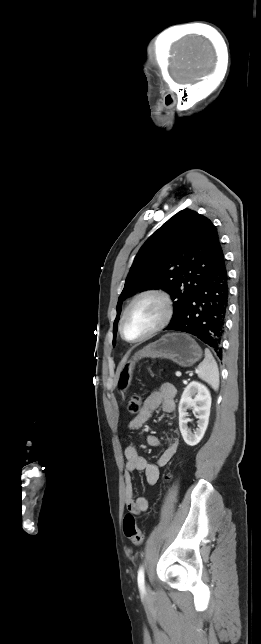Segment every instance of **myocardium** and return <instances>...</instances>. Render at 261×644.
<instances>
[{"mask_svg": "<svg viewBox=\"0 0 261 644\" xmlns=\"http://www.w3.org/2000/svg\"><path fill=\"white\" fill-rule=\"evenodd\" d=\"M146 297H154V298H157L158 300H160V302L163 305L162 318L160 319V321L158 322V324L154 328H152L149 332H147L142 337L137 338V339H133V340L128 339L126 337V335H125V322H126L128 314H129V311L131 310V308L133 307V305L136 302H138L139 300H141L143 298H146ZM173 316H174L173 299H172L171 295L166 290H164L162 288H157V287H152V288L142 290L141 292L136 294L130 300V302L128 303V305L124 309V312L122 314L120 324H119V330H120L121 337L125 341H127L128 343L135 344V343L144 342V341L148 340L149 338L153 337L154 335H156L157 333H159L160 331H162L165 327H167L169 325V323L171 322Z\"/></svg>", "mask_w": 261, "mask_h": 644, "instance_id": "1", "label": "myocardium"}]
</instances>
